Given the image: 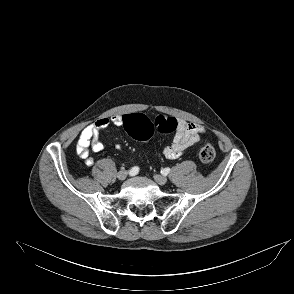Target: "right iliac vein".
Returning <instances> with one entry per match:
<instances>
[{
  "label": "right iliac vein",
  "instance_id": "obj_1",
  "mask_svg": "<svg viewBox=\"0 0 294 294\" xmlns=\"http://www.w3.org/2000/svg\"><path fill=\"white\" fill-rule=\"evenodd\" d=\"M127 177V172L126 171H119L117 174V178L119 180H124Z\"/></svg>",
  "mask_w": 294,
  "mask_h": 294
}]
</instances>
